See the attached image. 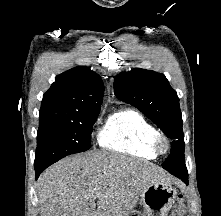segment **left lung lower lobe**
<instances>
[{"mask_svg": "<svg viewBox=\"0 0 221 216\" xmlns=\"http://www.w3.org/2000/svg\"><path fill=\"white\" fill-rule=\"evenodd\" d=\"M177 161L179 163V169L172 174L182 179L185 183H188V173L184 162V156H178Z\"/></svg>", "mask_w": 221, "mask_h": 216, "instance_id": "1", "label": "left lung lower lobe"}]
</instances>
